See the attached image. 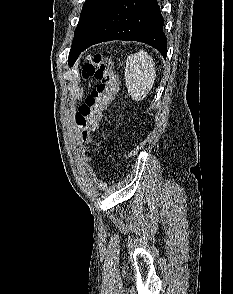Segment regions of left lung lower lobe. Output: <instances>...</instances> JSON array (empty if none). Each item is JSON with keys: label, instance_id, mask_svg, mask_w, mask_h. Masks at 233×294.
I'll use <instances>...</instances> for the list:
<instances>
[{"label": "left lung lower lobe", "instance_id": "obj_1", "mask_svg": "<svg viewBox=\"0 0 233 294\" xmlns=\"http://www.w3.org/2000/svg\"><path fill=\"white\" fill-rule=\"evenodd\" d=\"M164 19L156 0H111L83 43L88 47L111 40H134L156 48L165 58Z\"/></svg>", "mask_w": 233, "mask_h": 294}]
</instances>
